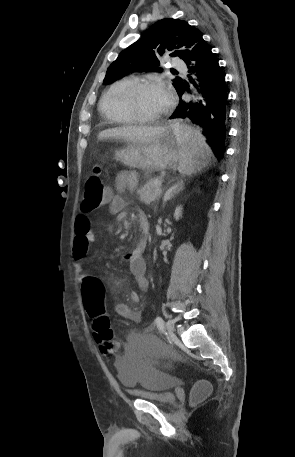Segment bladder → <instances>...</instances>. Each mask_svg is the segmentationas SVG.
Masks as SVG:
<instances>
[{
	"instance_id": "31cf9c89",
	"label": "bladder",
	"mask_w": 295,
	"mask_h": 457,
	"mask_svg": "<svg viewBox=\"0 0 295 457\" xmlns=\"http://www.w3.org/2000/svg\"><path fill=\"white\" fill-rule=\"evenodd\" d=\"M172 350L171 345H162L161 342H140L139 345H126L121 359L115 362L117 379L138 398L163 406L174 405L176 396L170 390V386L171 383L176 382L177 377L175 374H168L161 370L159 362V360L177 361L178 354ZM146 354L158 355L150 356L148 359L150 365H148L144 363L147 358Z\"/></svg>"
}]
</instances>
